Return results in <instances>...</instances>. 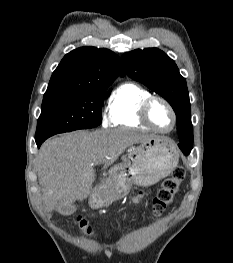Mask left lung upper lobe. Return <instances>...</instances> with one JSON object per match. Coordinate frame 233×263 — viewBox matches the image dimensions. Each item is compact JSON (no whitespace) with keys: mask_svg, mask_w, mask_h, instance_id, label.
I'll return each mask as SVG.
<instances>
[{"mask_svg":"<svg viewBox=\"0 0 233 263\" xmlns=\"http://www.w3.org/2000/svg\"><path fill=\"white\" fill-rule=\"evenodd\" d=\"M122 62L132 79L146 85L166 99L177 116L178 136L193 145L191 110L186 80L175 62L157 48L124 53Z\"/></svg>","mask_w":233,"mask_h":263,"instance_id":"1","label":"left lung upper lobe"}]
</instances>
